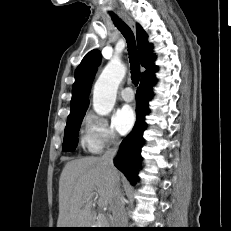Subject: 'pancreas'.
I'll return each instance as SVG.
<instances>
[{
    "label": "pancreas",
    "mask_w": 231,
    "mask_h": 231,
    "mask_svg": "<svg viewBox=\"0 0 231 231\" xmlns=\"http://www.w3.org/2000/svg\"><path fill=\"white\" fill-rule=\"evenodd\" d=\"M108 221H109L108 216H99L98 217V223H100L101 225H107Z\"/></svg>",
    "instance_id": "obj_1"
}]
</instances>
